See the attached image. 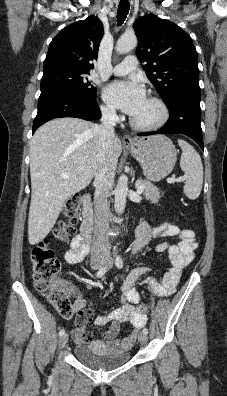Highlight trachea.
<instances>
[{
  "instance_id": "obj_1",
  "label": "trachea",
  "mask_w": 227,
  "mask_h": 396,
  "mask_svg": "<svg viewBox=\"0 0 227 396\" xmlns=\"http://www.w3.org/2000/svg\"><path fill=\"white\" fill-rule=\"evenodd\" d=\"M130 9V4L128 0H121L119 3L118 11H117V22L118 25L123 24L125 21L128 12Z\"/></svg>"
}]
</instances>
